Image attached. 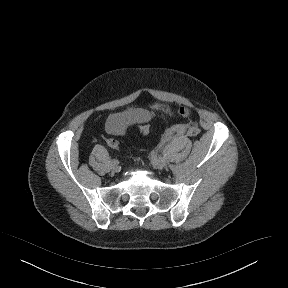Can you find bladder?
I'll use <instances>...</instances> for the list:
<instances>
[{
  "label": "bladder",
  "mask_w": 288,
  "mask_h": 288,
  "mask_svg": "<svg viewBox=\"0 0 288 288\" xmlns=\"http://www.w3.org/2000/svg\"><path fill=\"white\" fill-rule=\"evenodd\" d=\"M151 119V112L144 109H129L124 113L111 117L109 126L114 130H122L126 125L138 123L144 124Z\"/></svg>",
  "instance_id": "obj_1"
}]
</instances>
